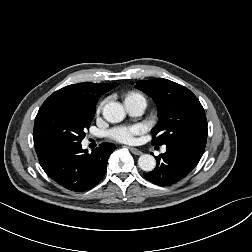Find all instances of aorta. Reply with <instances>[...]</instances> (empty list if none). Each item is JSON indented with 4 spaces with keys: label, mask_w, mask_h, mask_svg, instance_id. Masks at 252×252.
<instances>
[{
    "label": "aorta",
    "mask_w": 252,
    "mask_h": 252,
    "mask_svg": "<svg viewBox=\"0 0 252 252\" xmlns=\"http://www.w3.org/2000/svg\"><path fill=\"white\" fill-rule=\"evenodd\" d=\"M125 110L119 102H109L103 107V116L111 123L121 122L125 118ZM138 165L143 171H152L156 166L155 158L150 154H143L138 159Z\"/></svg>",
    "instance_id": "aorta-1"
}]
</instances>
